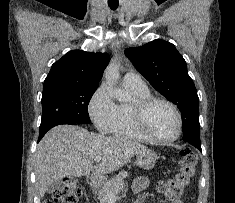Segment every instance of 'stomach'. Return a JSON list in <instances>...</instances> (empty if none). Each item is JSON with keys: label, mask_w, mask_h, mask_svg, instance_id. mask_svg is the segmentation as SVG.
I'll return each mask as SVG.
<instances>
[{"label": "stomach", "mask_w": 235, "mask_h": 203, "mask_svg": "<svg viewBox=\"0 0 235 203\" xmlns=\"http://www.w3.org/2000/svg\"><path fill=\"white\" fill-rule=\"evenodd\" d=\"M158 159L157 154L151 149H144L136 153L137 164L147 170L152 169L155 166L156 160ZM93 183L96 186H103L107 179L105 177H95L93 178Z\"/></svg>", "instance_id": "stomach-1"}]
</instances>
